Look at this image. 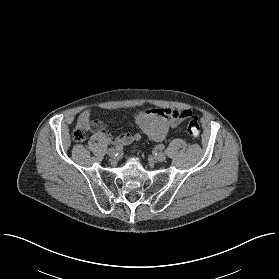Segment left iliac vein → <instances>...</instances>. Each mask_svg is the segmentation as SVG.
<instances>
[{
	"label": "left iliac vein",
	"mask_w": 279,
	"mask_h": 279,
	"mask_svg": "<svg viewBox=\"0 0 279 279\" xmlns=\"http://www.w3.org/2000/svg\"><path fill=\"white\" fill-rule=\"evenodd\" d=\"M154 159L158 162H163L166 159V155L163 152H158L154 155Z\"/></svg>",
	"instance_id": "left-iliac-vein-1"
}]
</instances>
